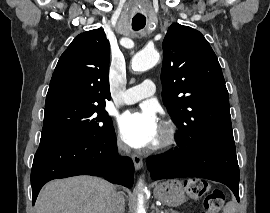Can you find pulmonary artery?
<instances>
[{
  "label": "pulmonary artery",
  "mask_w": 270,
  "mask_h": 213,
  "mask_svg": "<svg viewBox=\"0 0 270 213\" xmlns=\"http://www.w3.org/2000/svg\"><path fill=\"white\" fill-rule=\"evenodd\" d=\"M157 86L152 80H144L140 85L127 89L123 93L122 102L133 104L153 96Z\"/></svg>",
  "instance_id": "1"
}]
</instances>
